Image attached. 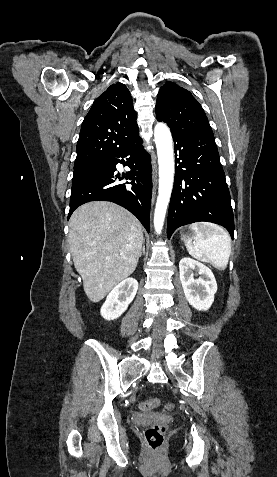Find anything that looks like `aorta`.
I'll return each instance as SVG.
<instances>
[{
	"label": "aorta",
	"mask_w": 277,
	"mask_h": 477,
	"mask_svg": "<svg viewBox=\"0 0 277 477\" xmlns=\"http://www.w3.org/2000/svg\"><path fill=\"white\" fill-rule=\"evenodd\" d=\"M159 163V188L154 212V227L161 232L169 204L174 179V156L172 137L169 128L164 123H158L154 128Z\"/></svg>",
	"instance_id": "762f6f07"
}]
</instances>
